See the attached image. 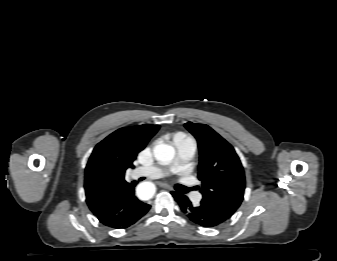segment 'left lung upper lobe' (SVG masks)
Returning <instances> with one entry per match:
<instances>
[{"instance_id":"left-lung-upper-lobe-1","label":"left lung upper lobe","mask_w":337,"mask_h":261,"mask_svg":"<svg viewBox=\"0 0 337 261\" xmlns=\"http://www.w3.org/2000/svg\"><path fill=\"white\" fill-rule=\"evenodd\" d=\"M185 128L198 142L200 162L198 178L202 181L201 205L208 206L229 219L240 206L245 189L242 164L234 148L205 124L188 122Z\"/></svg>"}]
</instances>
